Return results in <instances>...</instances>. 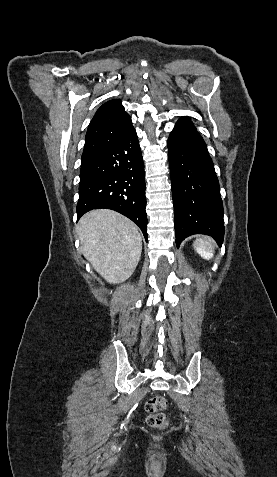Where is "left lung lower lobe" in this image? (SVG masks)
I'll return each mask as SVG.
<instances>
[{
  "label": "left lung lower lobe",
  "instance_id": "obj_1",
  "mask_svg": "<svg viewBox=\"0 0 277 477\" xmlns=\"http://www.w3.org/2000/svg\"><path fill=\"white\" fill-rule=\"evenodd\" d=\"M176 244L193 234L224 237L219 182L206 144L188 118L176 123L168 139Z\"/></svg>",
  "mask_w": 277,
  "mask_h": 477
}]
</instances>
